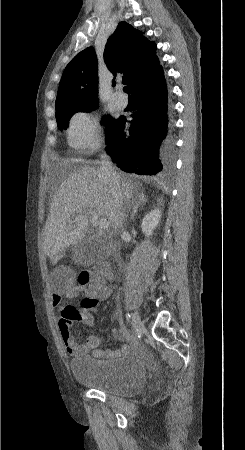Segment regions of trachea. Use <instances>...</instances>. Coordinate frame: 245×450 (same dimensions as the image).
I'll return each instance as SVG.
<instances>
[{"mask_svg":"<svg viewBox=\"0 0 245 450\" xmlns=\"http://www.w3.org/2000/svg\"><path fill=\"white\" fill-rule=\"evenodd\" d=\"M123 90H124V92H126L127 94H129V88H128V86H125V87L123 88Z\"/></svg>","mask_w":245,"mask_h":450,"instance_id":"trachea-1","label":"trachea"}]
</instances>
